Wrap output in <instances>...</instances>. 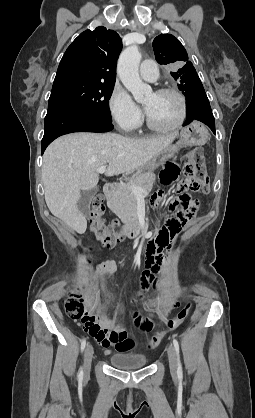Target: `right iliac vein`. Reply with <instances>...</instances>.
Masks as SVG:
<instances>
[{"label":"right iliac vein","mask_w":255,"mask_h":418,"mask_svg":"<svg viewBox=\"0 0 255 418\" xmlns=\"http://www.w3.org/2000/svg\"><path fill=\"white\" fill-rule=\"evenodd\" d=\"M92 357H93V347L90 344H88L84 352V375L85 376L89 374Z\"/></svg>","instance_id":"1"}]
</instances>
